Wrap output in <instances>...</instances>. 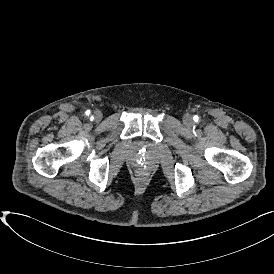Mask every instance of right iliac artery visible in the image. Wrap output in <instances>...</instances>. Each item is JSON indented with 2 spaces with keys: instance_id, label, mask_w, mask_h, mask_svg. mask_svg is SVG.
I'll return each mask as SVG.
<instances>
[{
  "instance_id": "1",
  "label": "right iliac artery",
  "mask_w": 274,
  "mask_h": 274,
  "mask_svg": "<svg viewBox=\"0 0 274 274\" xmlns=\"http://www.w3.org/2000/svg\"><path fill=\"white\" fill-rule=\"evenodd\" d=\"M85 113H86V115H89L90 114V110H87Z\"/></svg>"
}]
</instances>
